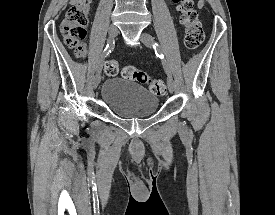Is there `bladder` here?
Listing matches in <instances>:
<instances>
[{
	"label": "bladder",
	"instance_id": "obj_1",
	"mask_svg": "<svg viewBox=\"0 0 275 215\" xmlns=\"http://www.w3.org/2000/svg\"><path fill=\"white\" fill-rule=\"evenodd\" d=\"M100 98L118 117L140 119L152 116L159 105L157 94L144 89L138 82L119 77L107 78Z\"/></svg>",
	"mask_w": 275,
	"mask_h": 215
}]
</instances>
